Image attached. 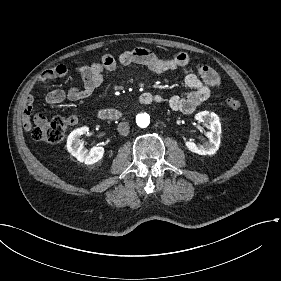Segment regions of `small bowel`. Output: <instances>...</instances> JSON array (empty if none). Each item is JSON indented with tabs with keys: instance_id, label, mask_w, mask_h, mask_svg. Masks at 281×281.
Here are the masks:
<instances>
[{
	"instance_id": "small-bowel-1",
	"label": "small bowel",
	"mask_w": 281,
	"mask_h": 281,
	"mask_svg": "<svg viewBox=\"0 0 281 281\" xmlns=\"http://www.w3.org/2000/svg\"><path fill=\"white\" fill-rule=\"evenodd\" d=\"M133 64L145 66L156 73H162L188 67L191 64V60L183 52L170 58H163L144 48L125 51L117 56L106 54L99 61H94L76 68L81 79L80 86L71 87L66 90H51L46 94L45 100L49 104H58L65 100H83L89 97L102 84L105 72L114 71L118 66L126 67ZM66 73L67 68L65 65H57L43 72L39 77V83L63 77ZM184 81L186 86L191 89L187 94L171 95L167 98L160 94H151L152 98L149 103H165L174 112L190 114L210 97L213 88H218L221 85L219 74L211 67L203 64L197 66V73L187 74ZM33 102V95L27 94L22 112L23 128L27 132L32 131L34 128L31 122ZM34 120L42 124L45 122L46 116L44 113L39 112L34 115Z\"/></svg>"
}]
</instances>
